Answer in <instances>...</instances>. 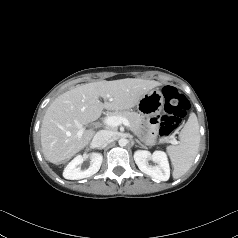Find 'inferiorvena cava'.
Instances as JSON below:
<instances>
[{
  "mask_svg": "<svg viewBox=\"0 0 238 238\" xmlns=\"http://www.w3.org/2000/svg\"><path fill=\"white\" fill-rule=\"evenodd\" d=\"M110 138H111V135L108 131L100 130L94 135L92 139V144L95 147H101L107 144Z\"/></svg>",
  "mask_w": 238,
  "mask_h": 238,
  "instance_id": "1",
  "label": "inferior vena cava"
}]
</instances>
